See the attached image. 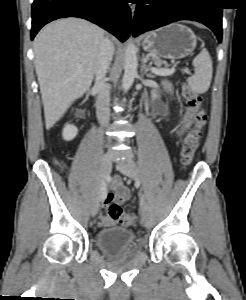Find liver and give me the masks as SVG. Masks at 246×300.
<instances>
[{"instance_id":"liver-1","label":"liver","mask_w":246,"mask_h":300,"mask_svg":"<svg viewBox=\"0 0 246 300\" xmlns=\"http://www.w3.org/2000/svg\"><path fill=\"white\" fill-rule=\"evenodd\" d=\"M103 37L100 27L73 17L50 23L35 37L34 63L46 129L91 86Z\"/></svg>"}]
</instances>
